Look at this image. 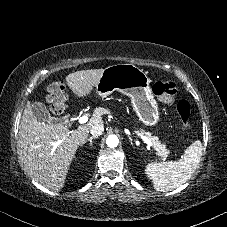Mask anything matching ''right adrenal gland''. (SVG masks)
Returning a JSON list of instances; mask_svg holds the SVG:
<instances>
[{
    "label": "right adrenal gland",
    "mask_w": 227,
    "mask_h": 227,
    "mask_svg": "<svg viewBox=\"0 0 227 227\" xmlns=\"http://www.w3.org/2000/svg\"><path fill=\"white\" fill-rule=\"evenodd\" d=\"M95 138H98L97 136H91L89 139H87L86 141L89 142V145L91 146L92 145V140L95 139ZM84 144V143H83Z\"/></svg>",
    "instance_id": "1"
}]
</instances>
